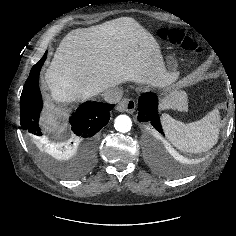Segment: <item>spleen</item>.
Wrapping results in <instances>:
<instances>
[{"instance_id":"spleen-1","label":"spleen","mask_w":236,"mask_h":236,"mask_svg":"<svg viewBox=\"0 0 236 236\" xmlns=\"http://www.w3.org/2000/svg\"><path fill=\"white\" fill-rule=\"evenodd\" d=\"M161 121L167 139L183 152H207L218 141L221 124L216 109L202 119L188 124L175 120L168 114H162Z\"/></svg>"}]
</instances>
